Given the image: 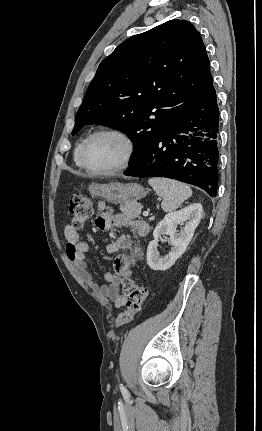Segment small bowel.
Returning <instances> with one entry per match:
<instances>
[{
  "instance_id": "obj_1",
  "label": "small bowel",
  "mask_w": 262,
  "mask_h": 431,
  "mask_svg": "<svg viewBox=\"0 0 262 431\" xmlns=\"http://www.w3.org/2000/svg\"><path fill=\"white\" fill-rule=\"evenodd\" d=\"M105 203H98V208L103 209ZM96 225L102 230L112 227L133 228L137 235L144 238L149 231V224L140 219H129L123 214L112 213L101 215L96 219ZM66 239L67 258L72 264L78 278L83 281L101 299L110 300L114 307L120 308L127 302V298L121 292V282L132 275L134 262L142 255V245L134 242L130 237L122 235L106 248L109 254L130 251V255L119 254L114 263L115 273L105 275L106 284H99L87 265L85 253L89 250L87 243L80 240L78 232L67 224L64 228Z\"/></svg>"
}]
</instances>
